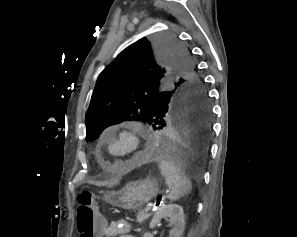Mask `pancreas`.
<instances>
[{
	"mask_svg": "<svg viewBox=\"0 0 297 237\" xmlns=\"http://www.w3.org/2000/svg\"><path fill=\"white\" fill-rule=\"evenodd\" d=\"M150 214L147 213L146 210H140L138 211L137 215H136V221L138 223H142L144 222L145 220H147L149 218Z\"/></svg>",
	"mask_w": 297,
	"mask_h": 237,
	"instance_id": "1",
	"label": "pancreas"
}]
</instances>
